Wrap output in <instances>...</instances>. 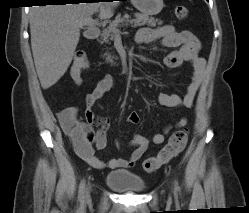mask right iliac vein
Returning <instances> with one entry per match:
<instances>
[{"label":"right iliac vein","mask_w":249,"mask_h":213,"mask_svg":"<svg viewBox=\"0 0 249 213\" xmlns=\"http://www.w3.org/2000/svg\"><path fill=\"white\" fill-rule=\"evenodd\" d=\"M84 198H85L86 200L90 198V187H87V188L85 189Z\"/></svg>","instance_id":"obj_1"}]
</instances>
